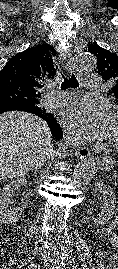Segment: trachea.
<instances>
[{"instance_id": "1", "label": "trachea", "mask_w": 118, "mask_h": 269, "mask_svg": "<svg viewBox=\"0 0 118 269\" xmlns=\"http://www.w3.org/2000/svg\"><path fill=\"white\" fill-rule=\"evenodd\" d=\"M56 68L60 70V67L58 65H56ZM64 72V70H63ZM62 77L64 78V82H62L61 84V89L62 90H66L68 88H77L79 87V83L75 77V75L72 73L69 77L66 76L65 73H62Z\"/></svg>"}]
</instances>
